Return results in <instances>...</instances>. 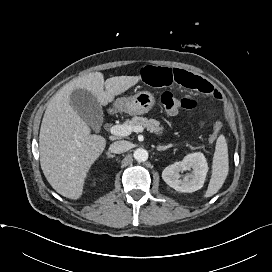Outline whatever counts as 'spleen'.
<instances>
[{"label":"spleen","mask_w":272,"mask_h":272,"mask_svg":"<svg viewBox=\"0 0 272 272\" xmlns=\"http://www.w3.org/2000/svg\"><path fill=\"white\" fill-rule=\"evenodd\" d=\"M229 171L228 147L224 135H219L216 141L212 163V176L204 195L205 198L216 194L226 180Z\"/></svg>","instance_id":"spleen-1"}]
</instances>
